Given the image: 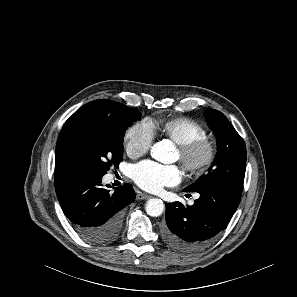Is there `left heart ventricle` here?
<instances>
[{
    "label": "left heart ventricle",
    "mask_w": 297,
    "mask_h": 297,
    "mask_svg": "<svg viewBox=\"0 0 297 297\" xmlns=\"http://www.w3.org/2000/svg\"><path fill=\"white\" fill-rule=\"evenodd\" d=\"M177 157L179 158L180 156H179V153L177 154Z\"/></svg>",
    "instance_id": "left-heart-ventricle-1"
}]
</instances>
